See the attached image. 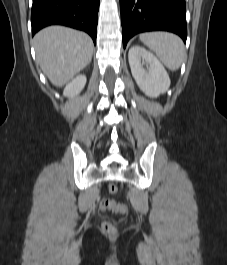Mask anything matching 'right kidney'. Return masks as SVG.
I'll use <instances>...</instances> for the list:
<instances>
[{
	"instance_id": "obj_1",
	"label": "right kidney",
	"mask_w": 227,
	"mask_h": 265,
	"mask_svg": "<svg viewBox=\"0 0 227 265\" xmlns=\"http://www.w3.org/2000/svg\"><path fill=\"white\" fill-rule=\"evenodd\" d=\"M86 84V76L78 75L70 83L66 85L63 91V95L66 97H74L78 95Z\"/></svg>"
}]
</instances>
